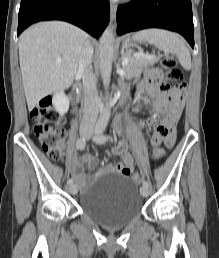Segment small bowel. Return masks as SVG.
<instances>
[{
    "label": "small bowel",
    "instance_id": "1",
    "mask_svg": "<svg viewBox=\"0 0 219 258\" xmlns=\"http://www.w3.org/2000/svg\"><path fill=\"white\" fill-rule=\"evenodd\" d=\"M161 72L158 68H149L144 76L142 85L152 98L153 105L158 112H164L165 118L162 123L156 124V118H147V121L140 122L139 126L155 127L152 132V145L157 146L162 142L166 146L172 147L175 143L176 137V125L178 123L181 111L185 101V91H180L178 88H174L171 91H165L160 83ZM122 128L121 118H117L114 122V129L120 131ZM114 154L119 156L122 163L118 165H108L100 169V172L105 171H119L123 175H131L134 171V158L133 155L127 151V145L121 141L117 148L114 150ZM71 174L77 181L78 185L82 189H86L91 181L92 177L84 172V165L89 168H93L97 165V159L91 154H84L81 157H71Z\"/></svg>",
    "mask_w": 219,
    "mask_h": 258
}]
</instances>
